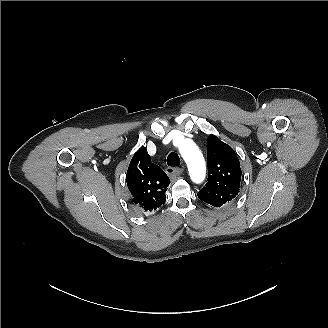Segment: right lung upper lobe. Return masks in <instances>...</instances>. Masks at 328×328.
<instances>
[{"label": "right lung upper lobe", "mask_w": 328, "mask_h": 328, "mask_svg": "<svg viewBox=\"0 0 328 328\" xmlns=\"http://www.w3.org/2000/svg\"><path fill=\"white\" fill-rule=\"evenodd\" d=\"M126 181L133 196V204L142 212H153L165 203V192L170 180L159 166L151 163L145 148L134 154L128 167Z\"/></svg>", "instance_id": "obj_1"}]
</instances>
